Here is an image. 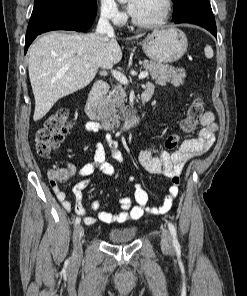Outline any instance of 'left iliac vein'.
<instances>
[{
	"mask_svg": "<svg viewBox=\"0 0 247 296\" xmlns=\"http://www.w3.org/2000/svg\"><path fill=\"white\" fill-rule=\"evenodd\" d=\"M161 246L165 250H170L172 248V239L168 230L164 229L161 235Z\"/></svg>",
	"mask_w": 247,
	"mask_h": 296,
	"instance_id": "obj_1",
	"label": "left iliac vein"
}]
</instances>
